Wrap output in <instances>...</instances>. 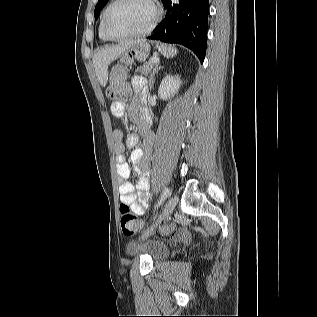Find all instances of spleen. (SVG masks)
Listing matches in <instances>:
<instances>
[{"label": "spleen", "instance_id": "obj_1", "mask_svg": "<svg viewBox=\"0 0 317 317\" xmlns=\"http://www.w3.org/2000/svg\"><path fill=\"white\" fill-rule=\"evenodd\" d=\"M159 51L167 58L173 57L177 53V49L167 45L158 46Z\"/></svg>", "mask_w": 317, "mask_h": 317}]
</instances>
